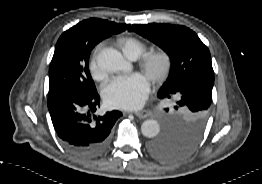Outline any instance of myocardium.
Returning a JSON list of instances; mask_svg holds the SVG:
<instances>
[{"instance_id": "1", "label": "myocardium", "mask_w": 262, "mask_h": 184, "mask_svg": "<svg viewBox=\"0 0 262 184\" xmlns=\"http://www.w3.org/2000/svg\"><path fill=\"white\" fill-rule=\"evenodd\" d=\"M174 67V56L168 49L156 48L146 53L141 61V69L154 84L164 82Z\"/></svg>"}]
</instances>
